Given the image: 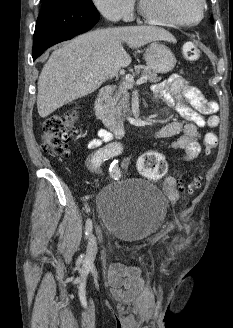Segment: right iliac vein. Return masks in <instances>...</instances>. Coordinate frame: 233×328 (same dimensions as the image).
<instances>
[{"mask_svg": "<svg viewBox=\"0 0 233 328\" xmlns=\"http://www.w3.org/2000/svg\"><path fill=\"white\" fill-rule=\"evenodd\" d=\"M97 254V242L93 235H90L87 251H86V257L85 262L87 265H91L95 259V256Z\"/></svg>", "mask_w": 233, "mask_h": 328, "instance_id": "1", "label": "right iliac vein"}]
</instances>
